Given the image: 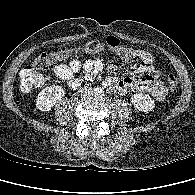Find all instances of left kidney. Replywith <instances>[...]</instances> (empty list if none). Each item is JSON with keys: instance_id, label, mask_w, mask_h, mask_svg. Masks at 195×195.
Returning <instances> with one entry per match:
<instances>
[{"instance_id": "1", "label": "left kidney", "mask_w": 195, "mask_h": 195, "mask_svg": "<svg viewBox=\"0 0 195 195\" xmlns=\"http://www.w3.org/2000/svg\"><path fill=\"white\" fill-rule=\"evenodd\" d=\"M131 102L139 111L146 113L152 111L155 107L154 100L148 94H134L131 97Z\"/></svg>"}]
</instances>
